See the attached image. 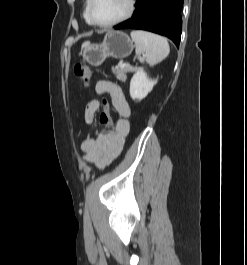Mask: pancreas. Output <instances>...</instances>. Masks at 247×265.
Returning <instances> with one entry per match:
<instances>
[{
    "label": "pancreas",
    "mask_w": 247,
    "mask_h": 265,
    "mask_svg": "<svg viewBox=\"0 0 247 265\" xmlns=\"http://www.w3.org/2000/svg\"><path fill=\"white\" fill-rule=\"evenodd\" d=\"M135 69L130 67H119L117 66L115 69H113V73L115 74L116 78L121 81H126V73L127 72H133Z\"/></svg>",
    "instance_id": "obj_1"
}]
</instances>
